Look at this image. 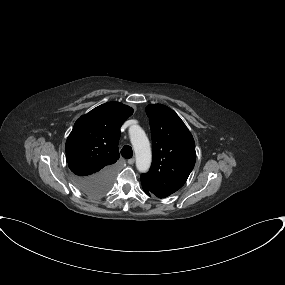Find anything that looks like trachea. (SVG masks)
Listing matches in <instances>:
<instances>
[{
    "label": "trachea",
    "mask_w": 285,
    "mask_h": 285,
    "mask_svg": "<svg viewBox=\"0 0 285 285\" xmlns=\"http://www.w3.org/2000/svg\"><path fill=\"white\" fill-rule=\"evenodd\" d=\"M121 155L126 158L129 159L133 156V150L129 145H125L122 149H121Z\"/></svg>",
    "instance_id": "1"
}]
</instances>
